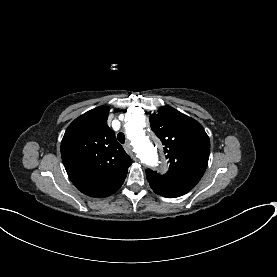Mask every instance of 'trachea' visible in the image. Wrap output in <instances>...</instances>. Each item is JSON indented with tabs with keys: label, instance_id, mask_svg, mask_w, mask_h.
Wrapping results in <instances>:
<instances>
[{
	"label": "trachea",
	"instance_id": "trachea-1",
	"mask_svg": "<svg viewBox=\"0 0 277 277\" xmlns=\"http://www.w3.org/2000/svg\"><path fill=\"white\" fill-rule=\"evenodd\" d=\"M117 139L118 141L121 143V144H124L125 143V135L123 133H119L117 135Z\"/></svg>",
	"mask_w": 277,
	"mask_h": 277
}]
</instances>
